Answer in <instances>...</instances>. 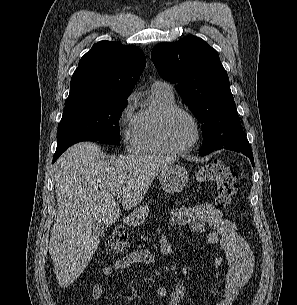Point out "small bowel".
<instances>
[{
	"label": "small bowel",
	"mask_w": 297,
	"mask_h": 305,
	"mask_svg": "<svg viewBox=\"0 0 297 305\" xmlns=\"http://www.w3.org/2000/svg\"><path fill=\"white\" fill-rule=\"evenodd\" d=\"M169 224L186 226L197 233L212 229L203 241V246L218 245L219 255L214 260V266H227L220 298L214 305H233L240 289L249 280L254 266V257L246 241L237 233L235 224L224 218L214 205L204 202L192 207L172 209L169 213ZM159 243L163 254H171L174 251L172 243L166 237L162 236ZM152 262L151 252L136 250L116 261L105 274L113 275L134 264L150 265ZM155 293L159 297L168 298L167 305H180L185 295V287L178 283L171 292L164 287H157ZM103 295L104 286L101 283L95 284L91 290L92 299L99 300Z\"/></svg>",
	"instance_id": "c3829d8e"
}]
</instances>
